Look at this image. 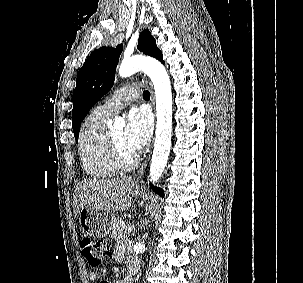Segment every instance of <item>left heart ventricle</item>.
<instances>
[{"mask_svg":"<svg viewBox=\"0 0 303 283\" xmlns=\"http://www.w3.org/2000/svg\"><path fill=\"white\" fill-rule=\"evenodd\" d=\"M114 140L118 144L119 148L121 149L122 153L125 157L130 158L134 155L125 144L124 141V128L123 127H116L110 130Z\"/></svg>","mask_w":303,"mask_h":283,"instance_id":"b2bd125f","label":"left heart ventricle"}]
</instances>
